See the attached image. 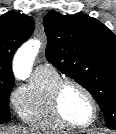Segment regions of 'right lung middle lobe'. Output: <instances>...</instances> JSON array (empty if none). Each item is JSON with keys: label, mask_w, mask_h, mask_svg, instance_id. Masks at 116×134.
I'll use <instances>...</instances> for the list:
<instances>
[{"label": "right lung middle lobe", "mask_w": 116, "mask_h": 134, "mask_svg": "<svg viewBox=\"0 0 116 134\" xmlns=\"http://www.w3.org/2000/svg\"><path fill=\"white\" fill-rule=\"evenodd\" d=\"M14 86V82H0V120H8L11 118L9 108V96Z\"/></svg>", "instance_id": "dd1d6c3e"}]
</instances>
